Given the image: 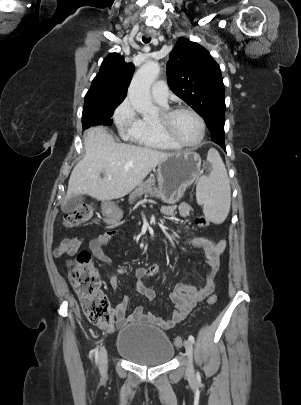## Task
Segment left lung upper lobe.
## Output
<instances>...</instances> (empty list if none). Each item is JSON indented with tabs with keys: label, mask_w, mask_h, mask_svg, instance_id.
Listing matches in <instances>:
<instances>
[{
	"label": "left lung upper lobe",
	"mask_w": 301,
	"mask_h": 405,
	"mask_svg": "<svg viewBox=\"0 0 301 405\" xmlns=\"http://www.w3.org/2000/svg\"><path fill=\"white\" fill-rule=\"evenodd\" d=\"M167 77L170 89L203 117L211 138L224 139V84L209 52L180 38L169 55Z\"/></svg>",
	"instance_id": "left-lung-upper-lobe-1"
}]
</instances>
